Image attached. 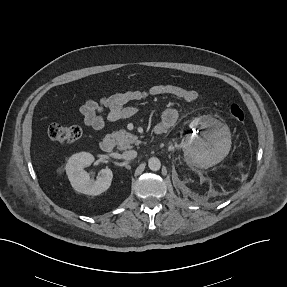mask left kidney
I'll return each instance as SVG.
<instances>
[{"mask_svg": "<svg viewBox=\"0 0 287 287\" xmlns=\"http://www.w3.org/2000/svg\"><path fill=\"white\" fill-rule=\"evenodd\" d=\"M199 123V120H194L191 127H196ZM207 127L211 129L202 138L197 135H187L183 141L184 151H189L194 163L201 167H210L219 163L231 147V136L227 128L202 125V128Z\"/></svg>", "mask_w": 287, "mask_h": 287, "instance_id": "left-kidney-1", "label": "left kidney"}]
</instances>
